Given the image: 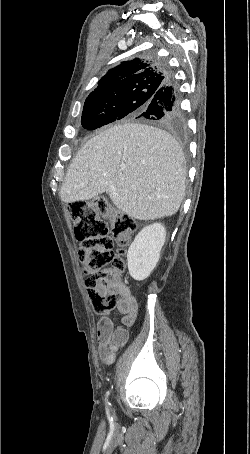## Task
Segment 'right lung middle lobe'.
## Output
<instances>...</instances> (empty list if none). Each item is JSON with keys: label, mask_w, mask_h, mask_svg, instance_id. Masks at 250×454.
Listing matches in <instances>:
<instances>
[{"label": "right lung middle lobe", "mask_w": 250, "mask_h": 454, "mask_svg": "<svg viewBox=\"0 0 250 454\" xmlns=\"http://www.w3.org/2000/svg\"><path fill=\"white\" fill-rule=\"evenodd\" d=\"M159 90L160 87L154 84H145L119 98L84 104L82 126L87 130H94L126 116L138 118Z\"/></svg>", "instance_id": "right-lung-middle-lobe-1"}]
</instances>
